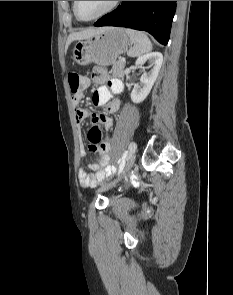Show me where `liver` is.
Wrapping results in <instances>:
<instances>
[{
	"instance_id": "obj_1",
	"label": "liver",
	"mask_w": 233,
	"mask_h": 295,
	"mask_svg": "<svg viewBox=\"0 0 233 295\" xmlns=\"http://www.w3.org/2000/svg\"><path fill=\"white\" fill-rule=\"evenodd\" d=\"M103 30H104V28H92V29H88V30H84L81 32H76V33L70 34L67 38V41H66L65 52L67 51L69 45L73 41L84 40V39L90 38V37L94 36L95 34L100 33Z\"/></svg>"
}]
</instances>
